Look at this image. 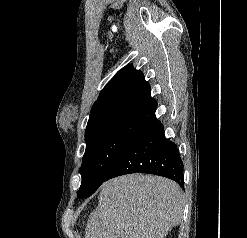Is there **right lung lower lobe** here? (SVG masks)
Returning a JSON list of instances; mask_svg holds the SVG:
<instances>
[{
	"mask_svg": "<svg viewBox=\"0 0 247 238\" xmlns=\"http://www.w3.org/2000/svg\"><path fill=\"white\" fill-rule=\"evenodd\" d=\"M170 178L183 186V165L175 143L165 138L164 127L151 118L109 170L106 180L130 173Z\"/></svg>",
	"mask_w": 247,
	"mask_h": 238,
	"instance_id": "obj_1",
	"label": "right lung lower lobe"
}]
</instances>
